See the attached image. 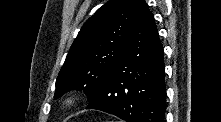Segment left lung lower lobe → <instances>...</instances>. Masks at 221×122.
I'll return each mask as SVG.
<instances>
[{"label": "left lung lower lobe", "mask_w": 221, "mask_h": 122, "mask_svg": "<svg viewBox=\"0 0 221 122\" xmlns=\"http://www.w3.org/2000/svg\"><path fill=\"white\" fill-rule=\"evenodd\" d=\"M165 91L163 47L154 17L141 0L123 52L87 109L127 122H164Z\"/></svg>", "instance_id": "left-lung-lower-lobe-1"}]
</instances>
